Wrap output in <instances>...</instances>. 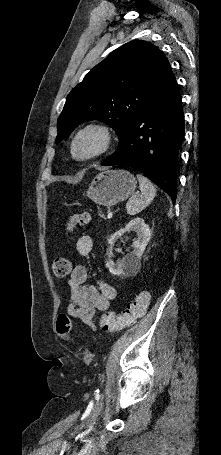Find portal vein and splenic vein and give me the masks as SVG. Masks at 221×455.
<instances>
[{"label":"portal vein and splenic vein","mask_w":221,"mask_h":455,"mask_svg":"<svg viewBox=\"0 0 221 455\" xmlns=\"http://www.w3.org/2000/svg\"><path fill=\"white\" fill-rule=\"evenodd\" d=\"M112 216H113V213H112V212H108V213H107V219H111Z\"/></svg>","instance_id":"18ae733b"}]
</instances>
